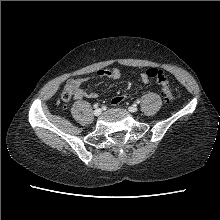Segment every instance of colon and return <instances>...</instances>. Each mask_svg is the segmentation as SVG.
<instances>
[{
    "label": "colon",
    "instance_id": "5ec220e1",
    "mask_svg": "<svg viewBox=\"0 0 220 220\" xmlns=\"http://www.w3.org/2000/svg\"><path fill=\"white\" fill-rule=\"evenodd\" d=\"M145 75L147 78L156 79L158 84L161 86L162 95L166 102L173 101V94L170 89V81L168 77L161 70L157 68H148L145 71ZM70 99H71V89L67 88L62 92L60 100L61 103L65 106L69 103Z\"/></svg>",
    "mask_w": 220,
    "mask_h": 220
}]
</instances>
